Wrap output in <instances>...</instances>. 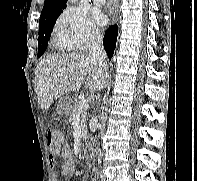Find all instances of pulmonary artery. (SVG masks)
<instances>
[{
  "label": "pulmonary artery",
  "instance_id": "e3ab8cb5",
  "mask_svg": "<svg viewBox=\"0 0 197 181\" xmlns=\"http://www.w3.org/2000/svg\"><path fill=\"white\" fill-rule=\"evenodd\" d=\"M94 4L101 6L105 4V0H92Z\"/></svg>",
  "mask_w": 197,
  "mask_h": 181
}]
</instances>
